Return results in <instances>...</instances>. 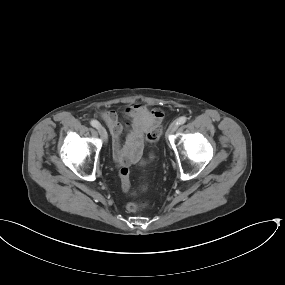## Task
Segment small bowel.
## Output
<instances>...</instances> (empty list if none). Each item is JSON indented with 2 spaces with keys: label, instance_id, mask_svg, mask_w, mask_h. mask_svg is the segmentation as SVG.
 <instances>
[{
  "label": "small bowel",
  "instance_id": "1",
  "mask_svg": "<svg viewBox=\"0 0 285 285\" xmlns=\"http://www.w3.org/2000/svg\"><path fill=\"white\" fill-rule=\"evenodd\" d=\"M99 117L110 128L115 162L121 167H128L140 161L144 135L162 122L164 112L159 108L148 110L140 104L130 105L124 113V117L130 121L131 127L125 149L121 147L120 136L123 126L117 113L114 111H102ZM123 190L128 192V189L123 188Z\"/></svg>",
  "mask_w": 285,
  "mask_h": 285
}]
</instances>
